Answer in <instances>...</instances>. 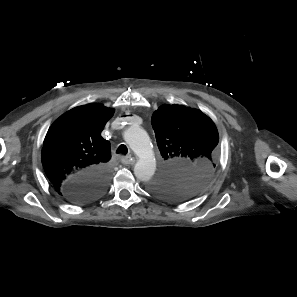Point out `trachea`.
Returning <instances> with one entry per match:
<instances>
[{
    "mask_svg": "<svg viewBox=\"0 0 297 297\" xmlns=\"http://www.w3.org/2000/svg\"><path fill=\"white\" fill-rule=\"evenodd\" d=\"M127 152H128V148L124 144H121L116 151V153L123 154V155L127 154Z\"/></svg>",
    "mask_w": 297,
    "mask_h": 297,
    "instance_id": "3493384b",
    "label": "trachea"
}]
</instances>
